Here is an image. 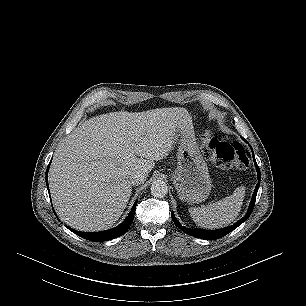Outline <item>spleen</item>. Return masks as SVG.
Instances as JSON below:
<instances>
[{"instance_id": "obj_1", "label": "spleen", "mask_w": 306, "mask_h": 306, "mask_svg": "<svg viewBox=\"0 0 306 306\" xmlns=\"http://www.w3.org/2000/svg\"><path fill=\"white\" fill-rule=\"evenodd\" d=\"M244 196L245 187H237L232 195L211 205L189 208L190 216L198 226L203 228H222L237 218L243 205Z\"/></svg>"}]
</instances>
